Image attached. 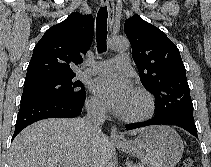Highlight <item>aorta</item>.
<instances>
[{
    "label": "aorta",
    "instance_id": "aorta-1",
    "mask_svg": "<svg viewBox=\"0 0 211 167\" xmlns=\"http://www.w3.org/2000/svg\"><path fill=\"white\" fill-rule=\"evenodd\" d=\"M109 47L113 51H126L129 48V41L125 37L115 36L110 39Z\"/></svg>",
    "mask_w": 211,
    "mask_h": 167
}]
</instances>
